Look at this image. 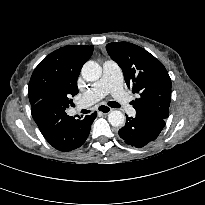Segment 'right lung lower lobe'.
<instances>
[{
  "label": "right lung lower lobe",
  "mask_w": 205,
  "mask_h": 205,
  "mask_svg": "<svg viewBox=\"0 0 205 205\" xmlns=\"http://www.w3.org/2000/svg\"><path fill=\"white\" fill-rule=\"evenodd\" d=\"M65 110L66 107L55 97H49L33 105L31 113L51 146L60 151H71L85 142L97 112L75 119L68 116Z\"/></svg>",
  "instance_id": "right-lung-lower-lobe-1"
}]
</instances>
